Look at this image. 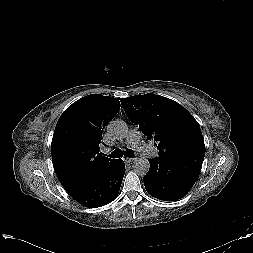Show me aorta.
I'll list each match as a JSON object with an SVG mask.
<instances>
[{
    "label": "aorta",
    "mask_w": 253,
    "mask_h": 253,
    "mask_svg": "<svg viewBox=\"0 0 253 253\" xmlns=\"http://www.w3.org/2000/svg\"><path fill=\"white\" fill-rule=\"evenodd\" d=\"M107 131L113 136H123L127 132V126L123 121H111L107 126ZM134 171L138 175H145L150 168V163L146 158L136 159L133 165Z\"/></svg>",
    "instance_id": "1"
}]
</instances>
